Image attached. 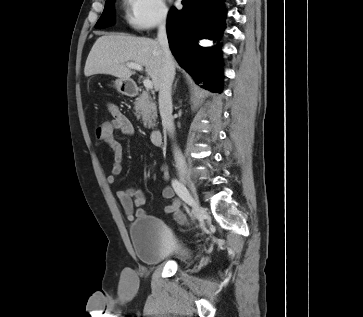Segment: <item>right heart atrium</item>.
I'll return each instance as SVG.
<instances>
[{"mask_svg": "<svg viewBox=\"0 0 363 317\" xmlns=\"http://www.w3.org/2000/svg\"><path fill=\"white\" fill-rule=\"evenodd\" d=\"M128 24L138 31L163 25L168 18L165 0H124Z\"/></svg>", "mask_w": 363, "mask_h": 317, "instance_id": "right-heart-atrium-1", "label": "right heart atrium"}]
</instances>
